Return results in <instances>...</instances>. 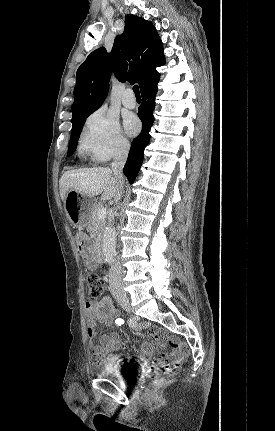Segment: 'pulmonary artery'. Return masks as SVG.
<instances>
[{
  "label": "pulmonary artery",
  "mask_w": 275,
  "mask_h": 431,
  "mask_svg": "<svg viewBox=\"0 0 275 431\" xmlns=\"http://www.w3.org/2000/svg\"><path fill=\"white\" fill-rule=\"evenodd\" d=\"M122 103L126 108H134L136 106V99L133 95V92L131 89H126L123 97H122Z\"/></svg>",
  "instance_id": "obj_1"
}]
</instances>
